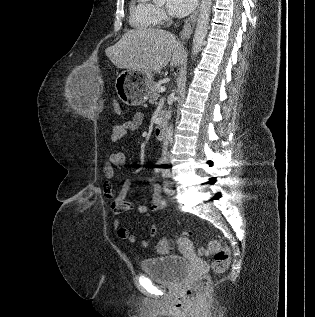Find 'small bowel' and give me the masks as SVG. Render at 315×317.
I'll return each mask as SVG.
<instances>
[{
    "label": "small bowel",
    "mask_w": 315,
    "mask_h": 317,
    "mask_svg": "<svg viewBox=\"0 0 315 317\" xmlns=\"http://www.w3.org/2000/svg\"><path fill=\"white\" fill-rule=\"evenodd\" d=\"M144 116L141 112H137L131 119L124 120L121 123L116 124L112 128L110 141L112 143L118 142L122 139L129 131L137 130L143 123ZM126 163V155L122 151L113 152L106 163L104 164L103 172L105 181L102 186L103 195L105 198L110 200L111 212L114 215L113 227L116 235L121 240H127L130 243H136L137 237L132 234L127 227H125L119 215L130 211L134 208L140 214L150 217L152 213L160 211L166 207V201L161 195V186L158 184L153 177L148 178V191L150 193V206H147L139 201L127 200V195L131 190V179L127 178L120 191L116 194L114 192L113 180L116 176V171L123 168ZM150 236L154 237L157 234V228L153 224H149ZM140 245L143 248L148 247L149 242L143 238L140 240Z\"/></svg>",
    "instance_id": "c3829d8e"
}]
</instances>
